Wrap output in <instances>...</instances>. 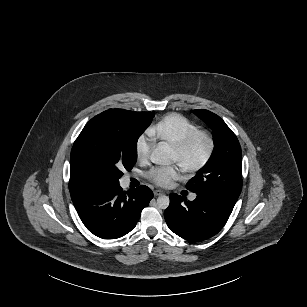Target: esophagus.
Returning a JSON list of instances; mask_svg holds the SVG:
<instances>
[{"label":"esophagus","mask_w":307,"mask_h":307,"mask_svg":"<svg viewBox=\"0 0 307 307\" xmlns=\"http://www.w3.org/2000/svg\"><path fill=\"white\" fill-rule=\"evenodd\" d=\"M163 194H164V192L161 191V190H155V191H154V195H155V196H160V195H163Z\"/></svg>","instance_id":"34e87169"}]
</instances>
